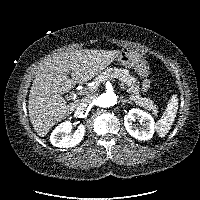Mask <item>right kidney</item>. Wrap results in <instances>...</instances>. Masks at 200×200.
<instances>
[{"mask_svg": "<svg viewBox=\"0 0 200 200\" xmlns=\"http://www.w3.org/2000/svg\"><path fill=\"white\" fill-rule=\"evenodd\" d=\"M71 130L72 123L70 121L59 124L51 133V144L60 148L74 147L79 144L85 134V126L80 124L73 134H71Z\"/></svg>", "mask_w": 200, "mask_h": 200, "instance_id": "right-kidney-1", "label": "right kidney"}]
</instances>
